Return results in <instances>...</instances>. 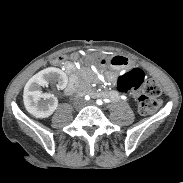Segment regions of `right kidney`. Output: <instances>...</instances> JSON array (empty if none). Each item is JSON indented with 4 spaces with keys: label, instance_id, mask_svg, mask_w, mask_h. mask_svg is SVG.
<instances>
[{
    "label": "right kidney",
    "instance_id": "obj_1",
    "mask_svg": "<svg viewBox=\"0 0 183 183\" xmlns=\"http://www.w3.org/2000/svg\"><path fill=\"white\" fill-rule=\"evenodd\" d=\"M49 82L57 83L58 89L67 85V75L58 68H46L34 75L25 85L23 101L26 110L36 118H47L58 106L57 98L49 93H43L41 87Z\"/></svg>",
    "mask_w": 183,
    "mask_h": 183
}]
</instances>
